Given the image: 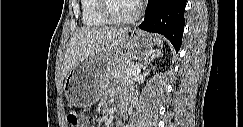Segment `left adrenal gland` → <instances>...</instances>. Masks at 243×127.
<instances>
[{"label": "left adrenal gland", "instance_id": "left-adrenal-gland-1", "mask_svg": "<svg viewBox=\"0 0 243 127\" xmlns=\"http://www.w3.org/2000/svg\"><path fill=\"white\" fill-rule=\"evenodd\" d=\"M160 52L157 53H152V55H150L149 57L145 58L144 64H143V70L146 69V67L156 58H158L160 56Z\"/></svg>", "mask_w": 243, "mask_h": 127}]
</instances>
